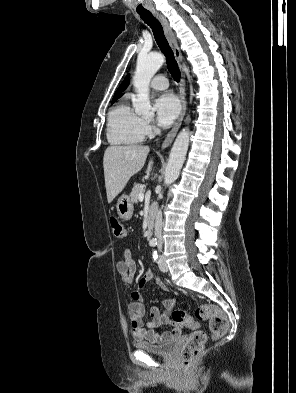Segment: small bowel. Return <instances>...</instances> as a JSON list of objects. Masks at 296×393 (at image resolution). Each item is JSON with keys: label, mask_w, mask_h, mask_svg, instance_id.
I'll return each instance as SVG.
<instances>
[{"label": "small bowel", "mask_w": 296, "mask_h": 393, "mask_svg": "<svg viewBox=\"0 0 296 393\" xmlns=\"http://www.w3.org/2000/svg\"><path fill=\"white\" fill-rule=\"evenodd\" d=\"M116 270L124 282L130 284L133 281L136 270L135 261L129 250H126L123 257L116 263ZM155 281L162 288H166V283L153 270H147L138 282L136 289L131 292L128 304V315L132 327V336L137 341H147L159 344L180 335L182 326L171 321L170 314L177 305V298H169L162 302L164 311L160 313L159 306L153 305L150 310L151 319L143 321L146 308L141 291L145 286ZM163 325H172V331L160 333L157 328Z\"/></svg>", "instance_id": "1"}]
</instances>
